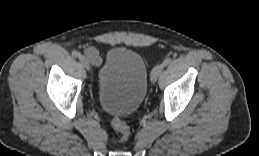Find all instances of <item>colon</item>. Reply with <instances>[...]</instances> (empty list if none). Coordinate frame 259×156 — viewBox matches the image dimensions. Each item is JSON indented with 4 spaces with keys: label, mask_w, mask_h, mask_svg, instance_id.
Masks as SVG:
<instances>
[{
    "label": "colon",
    "mask_w": 259,
    "mask_h": 156,
    "mask_svg": "<svg viewBox=\"0 0 259 156\" xmlns=\"http://www.w3.org/2000/svg\"><path fill=\"white\" fill-rule=\"evenodd\" d=\"M113 129L119 134L117 142H124L130 136L129 126L118 116H114L111 120Z\"/></svg>",
    "instance_id": "obj_1"
}]
</instances>
